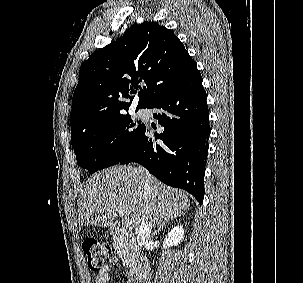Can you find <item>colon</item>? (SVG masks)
Wrapping results in <instances>:
<instances>
[{"label":"colon","mask_w":303,"mask_h":283,"mask_svg":"<svg viewBox=\"0 0 303 283\" xmlns=\"http://www.w3.org/2000/svg\"><path fill=\"white\" fill-rule=\"evenodd\" d=\"M82 248L92 271H100L112 253L110 244L99 240H87Z\"/></svg>","instance_id":"colon-1"}]
</instances>
